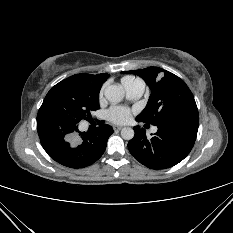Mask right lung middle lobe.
<instances>
[{"mask_svg": "<svg viewBox=\"0 0 233 233\" xmlns=\"http://www.w3.org/2000/svg\"><path fill=\"white\" fill-rule=\"evenodd\" d=\"M100 87L75 75L68 77L46 95L37 115V122L52 121L60 126L75 125L91 117L100 108Z\"/></svg>", "mask_w": 233, "mask_h": 233, "instance_id": "1", "label": "right lung middle lobe"}]
</instances>
